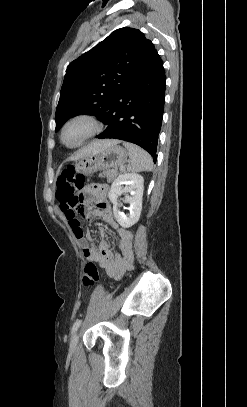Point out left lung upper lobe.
<instances>
[{
    "label": "left lung upper lobe",
    "instance_id": "obj_1",
    "mask_svg": "<svg viewBox=\"0 0 247 407\" xmlns=\"http://www.w3.org/2000/svg\"><path fill=\"white\" fill-rule=\"evenodd\" d=\"M155 52L140 30L124 27L71 62L60 91L55 131L79 114L94 115L104 123L121 90Z\"/></svg>",
    "mask_w": 247,
    "mask_h": 407
}]
</instances>
